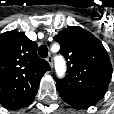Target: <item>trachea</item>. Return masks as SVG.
<instances>
[{
	"label": "trachea",
	"mask_w": 114,
	"mask_h": 114,
	"mask_svg": "<svg viewBox=\"0 0 114 114\" xmlns=\"http://www.w3.org/2000/svg\"><path fill=\"white\" fill-rule=\"evenodd\" d=\"M38 54L41 58H46L48 56V48L46 45H41L38 48Z\"/></svg>",
	"instance_id": "3493384b"
}]
</instances>
